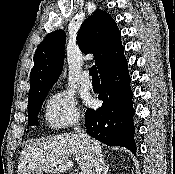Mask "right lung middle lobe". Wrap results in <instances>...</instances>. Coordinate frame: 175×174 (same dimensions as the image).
Here are the masks:
<instances>
[{"label":"right lung middle lobe","instance_id":"right-lung-middle-lobe-1","mask_svg":"<svg viewBox=\"0 0 175 174\" xmlns=\"http://www.w3.org/2000/svg\"><path fill=\"white\" fill-rule=\"evenodd\" d=\"M45 98V95H42L40 97H37L33 100L28 101V125L29 126H38V114L39 110L41 108L43 99Z\"/></svg>","mask_w":175,"mask_h":174}]
</instances>
